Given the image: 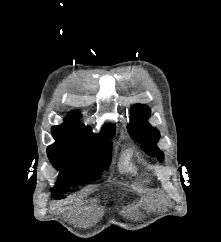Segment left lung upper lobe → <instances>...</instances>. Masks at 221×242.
Returning a JSON list of instances; mask_svg holds the SVG:
<instances>
[{"mask_svg":"<svg viewBox=\"0 0 221 242\" xmlns=\"http://www.w3.org/2000/svg\"><path fill=\"white\" fill-rule=\"evenodd\" d=\"M150 109L141 104L132 108V118L128 125L130 134L141 143V148L150 156H157L160 162L163 161L162 151L158 150L156 143L159 139V131L153 128L148 122Z\"/></svg>","mask_w":221,"mask_h":242,"instance_id":"1","label":"left lung upper lobe"}]
</instances>
